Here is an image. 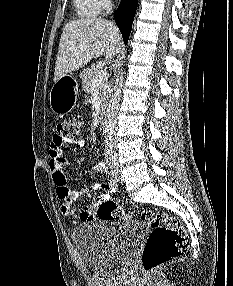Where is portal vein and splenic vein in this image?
<instances>
[{
  "instance_id": "obj_1",
  "label": "portal vein and splenic vein",
  "mask_w": 233,
  "mask_h": 286,
  "mask_svg": "<svg viewBox=\"0 0 233 286\" xmlns=\"http://www.w3.org/2000/svg\"><path fill=\"white\" fill-rule=\"evenodd\" d=\"M105 76H106V73L103 71V70H99L94 78V82L97 83V82H102L104 81L105 79Z\"/></svg>"
}]
</instances>
